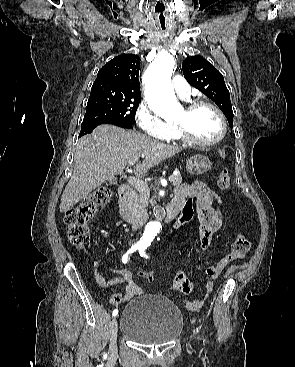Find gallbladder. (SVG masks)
<instances>
[{
	"label": "gallbladder",
	"mask_w": 295,
	"mask_h": 367,
	"mask_svg": "<svg viewBox=\"0 0 295 367\" xmlns=\"http://www.w3.org/2000/svg\"><path fill=\"white\" fill-rule=\"evenodd\" d=\"M108 183L109 184H114V183H116V181L114 179H112V180H108Z\"/></svg>",
	"instance_id": "obj_1"
}]
</instances>
